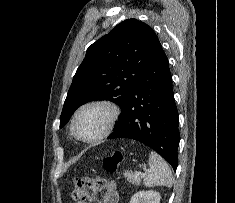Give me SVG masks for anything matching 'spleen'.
<instances>
[{
	"instance_id": "spleen-1",
	"label": "spleen",
	"mask_w": 235,
	"mask_h": 203,
	"mask_svg": "<svg viewBox=\"0 0 235 203\" xmlns=\"http://www.w3.org/2000/svg\"><path fill=\"white\" fill-rule=\"evenodd\" d=\"M149 167L147 175L143 179L144 186H172L173 176L169 165L161 156L153 151L149 154Z\"/></svg>"
}]
</instances>
